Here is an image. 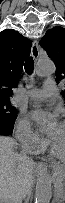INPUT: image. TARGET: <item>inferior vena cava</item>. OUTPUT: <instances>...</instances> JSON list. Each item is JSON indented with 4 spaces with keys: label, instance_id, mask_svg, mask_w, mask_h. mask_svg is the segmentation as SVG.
<instances>
[{
    "label": "inferior vena cava",
    "instance_id": "inferior-vena-cava-1",
    "mask_svg": "<svg viewBox=\"0 0 65 203\" xmlns=\"http://www.w3.org/2000/svg\"><path fill=\"white\" fill-rule=\"evenodd\" d=\"M22 156H23L24 158H27V156H26L24 153H22ZM23 195H24V191L21 190V191L19 192L18 196L15 198L14 202H15V203H22V197H23Z\"/></svg>",
    "mask_w": 65,
    "mask_h": 203
}]
</instances>
